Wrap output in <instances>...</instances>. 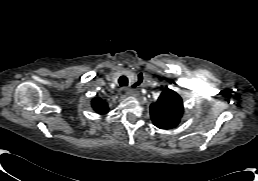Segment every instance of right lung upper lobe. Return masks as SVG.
<instances>
[{
  "label": "right lung upper lobe",
  "instance_id": "right-lung-upper-lobe-1",
  "mask_svg": "<svg viewBox=\"0 0 258 181\" xmlns=\"http://www.w3.org/2000/svg\"><path fill=\"white\" fill-rule=\"evenodd\" d=\"M92 107L99 114H106L109 109L107 103L99 97L93 99Z\"/></svg>",
  "mask_w": 258,
  "mask_h": 181
}]
</instances>
